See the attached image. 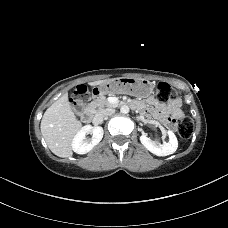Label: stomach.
I'll list each match as a JSON object with an SVG mask.
<instances>
[{
	"label": "stomach",
	"instance_id": "stomach-1",
	"mask_svg": "<svg viewBox=\"0 0 228 228\" xmlns=\"http://www.w3.org/2000/svg\"><path fill=\"white\" fill-rule=\"evenodd\" d=\"M95 97L114 94H128L146 98L153 93L154 84L145 78L120 77L109 79L95 87Z\"/></svg>",
	"mask_w": 228,
	"mask_h": 228
}]
</instances>
